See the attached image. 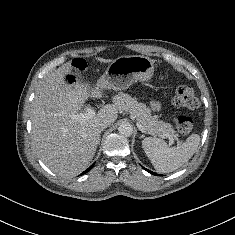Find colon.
<instances>
[{"instance_id":"colon-1","label":"colon","mask_w":235,"mask_h":235,"mask_svg":"<svg viewBox=\"0 0 235 235\" xmlns=\"http://www.w3.org/2000/svg\"><path fill=\"white\" fill-rule=\"evenodd\" d=\"M74 66L80 70L84 69L83 63L79 60L74 63ZM172 105L174 110L179 108L196 109L199 102L192 87L180 85L175 89ZM174 122L177 130L182 134H189L194 128L193 119L187 115H177Z\"/></svg>"}]
</instances>
